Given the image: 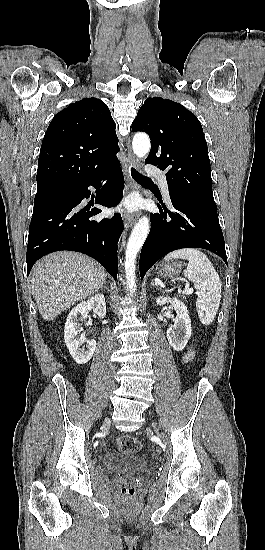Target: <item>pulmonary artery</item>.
Returning a JSON list of instances; mask_svg holds the SVG:
<instances>
[{"mask_svg": "<svg viewBox=\"0 0 265 550\" xmlns=\"http://www.w3.org/2000/svg\"><path fill=\"white\" fill-rule=\"evenodd\" d=\"M151 174L154 175L158 179V181H159V183L162 187V192H163L164 196L167 199H169L168 185H167V180H166V176H165L164 172H162L158 169H153V170H151Z\"/></svg>", "mask_w": 265, "mask_h": 550, "instance_id": "e3ab8cb5", "label": "pulmonary artery"}]
</instances>
